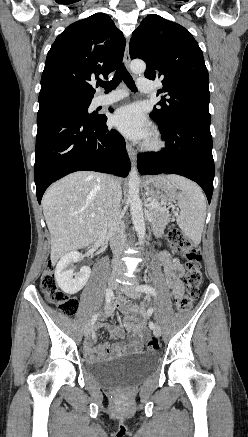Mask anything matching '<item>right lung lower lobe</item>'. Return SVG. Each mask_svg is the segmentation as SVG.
I'll return each mask as SVG.
<instances>
[{
	"label": "right lung lower lobe",
	"instance_id": "right-lung-lower-lobe-1",
	"mask_svg": "<svg viewBox=\"0 0 248 437\" xmlns=\"http://www.w3.org/2000/svg\"><path fill=\"white\" fill-rule=\"evenodd\" d=\"M106 121V115L86 118L65 105L39 107L34 166L39 204L51 183L75 171L128 175L125 140Z\"/></svg>",
	"mask_w": 248,
	"mask_h": 437
}]
</instances>
